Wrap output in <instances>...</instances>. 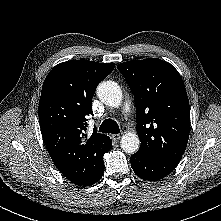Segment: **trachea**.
<instances>
[{"mask_svg": "<svg viewBox=\"0 0 221 221\" xmlns=\"http://www.w3.org/2000/svg\"><path fill=\"white\" fill-rule=\"evenodd\" d=\"M100 132L118 134L120 132L118 124L112 119H106L102 122Z\"/></svg>", "mask_w": 221, "mask_h": 221, "instance_id": "obj_1", "label": "trachea"}]
</instances>
